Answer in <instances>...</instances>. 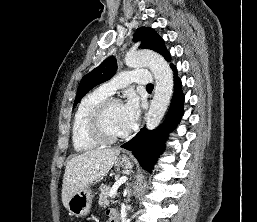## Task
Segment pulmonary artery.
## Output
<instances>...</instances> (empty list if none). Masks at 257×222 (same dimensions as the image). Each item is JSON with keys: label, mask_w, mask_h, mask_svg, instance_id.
<instances>
[{"label": "pulmonary artery", "mask_w": 257, "mask_h": 222, "mask_svg": "<svg viewBox=\"0 0 257 222\" xmlns=\"http://www.w3.org/2000/svg\"><path fill=\"white\" fill-rule=\"evenodd\" d=\"M151 75L148 71H134V72H121L115 76L111 81L104 83L101 90L108 95H111L119 87L126 86L130 83L137 84H150Z\"/></svg>", "instance_id": "pulmonary-artery-1"}]
</instances>
